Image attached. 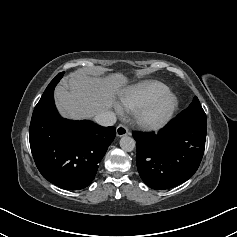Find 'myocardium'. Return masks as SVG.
<instances>
[{
  "label": "myocardium",
  "mask_w": 237,
  "mask_h": 237,
  "mask_svg": "<svg viewBox=\"0 0 237 237\" xmlns=\"http://www.w3.org/2000/svg\"><path fill=\"white\" fill-rule=\"evenodd\" d=\"M178 105L177 96L168 91L138 107L135 110V121L143 129H161L173 118Z\"/></svg>",
  "instance_id": "1"
}]
</instances>
